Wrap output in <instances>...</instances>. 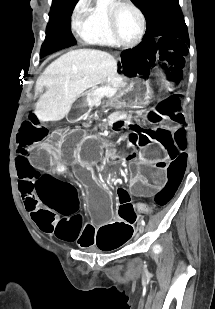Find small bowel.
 Here are the masks:
<instances>
[{"instance_id":"obj_1","label":"small bowel","mask_w":215,"mask_h":309,"mask_svg":"<svg viewBox=\"0 0 215 309\" xmlns=\"http://www.w3.org/2000/svg\"><path fill=\"white\" fill-rule=\"evenodd\" d=\"M130 127H132L133 129H135V128H136V126H135V125H130Z\"/></svg>"}]
</instances>
